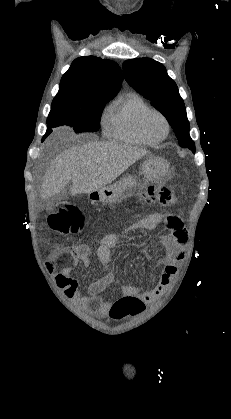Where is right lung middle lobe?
<instances>
[{"instance_id":"dd1d6c3e","label":"right lung middle lobe","mask_w":231,"mask_h":419,"mask_svg":"<svg viewBox=\"0 0 231 419\" xmlns=\"http://www.w3.org/2000/svg\"><path fill=\"white\" fill-rule=\"evenodd\" d=\"M109 100L110 98L77 99L56 95L51 105L43 140L52 132L53 127L61 125L73 127L76 133L97 131L102 111Z\"/></svg>"}]
</instances>
